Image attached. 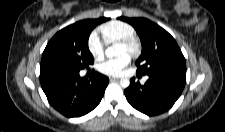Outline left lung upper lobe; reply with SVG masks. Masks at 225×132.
Returning a JSON list of instances; mask_svg holds the SVG:
<instances>
[{
    "label": "left lung upper lobe",
    "instance_id": "1",
    "mask_svg": "<svg viewBox=\"0 0 225 132\" xmlns=\"http://www.w3.org/2000/svg\"><path fill=\"white\" fill-rule=\"evenodd\" d=\"M119 19L131 24L141 39L142 54L136 61L137 73L186 72L185 58L166 30L145 18Z\"/></svg>",
    "mask_w": 225,
    "mask_h": 132
}]
</instances>
